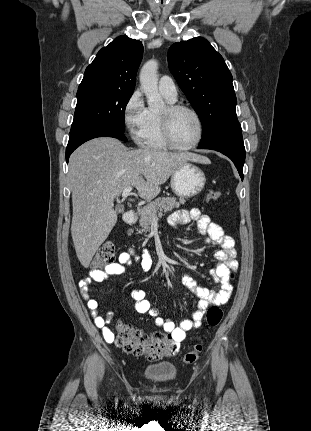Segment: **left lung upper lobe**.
I'll list each match as a JSON object with an SVG mask.
<instances>
[{
    "label": "left lung upper lobe",
    "instance_id": "left-lung-upper-lobe-1",
    "mask_svg": "<svg viewBox=\"0 0 311 431\" xmlns=\"http://www.w3.org/2000/svg\"><path fill=\"white\" fill-rule=\"evenodd\" d=\"M167 57L172 75L202 122L199 145L241 131L232 75L209 41L196 37L175 43Z\"/></svg>",
    "mask_w": 311,
    "mask_h": 431
}]
</instances>
